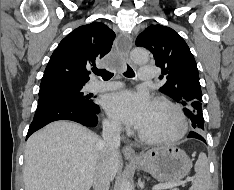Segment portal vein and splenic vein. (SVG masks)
<instances>
[{
    "label": "portal vein and splenic vein",
    "instance_id": "18ae733b",
    "mask_svg": "<svg viewBox=\"0 0 234 190\" xmlns=\"http://www.w3.org/2000/svg\"><path fill=\"white\" fill-rule=\"evenodd\" d=\"M187 181H190V179L186 180L185 182ZM185 182L158 184L153 186L152 190L172 189L174 186L183 184Z\"/></svg>",
    "mask_w": 234,
    "mask_h": 190
}]
</instances>
